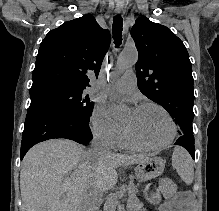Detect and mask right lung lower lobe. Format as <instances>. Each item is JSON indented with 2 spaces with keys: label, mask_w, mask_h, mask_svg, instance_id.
Listing matches in <instances>:
<instances>
[{
  "label": "right lung lower lobe",
  "mask_w": 219,
  "mask_h": 211,
  "mask_svg": "<svg viewBox=\"0 0 219 211\" xmlns=\"http://www.w3.org/2000/svg\"><path fill=\"white\" fill-rule=\"evenodd\" d=\"M53 138H66L86 145L93 138L89 120L76 117L51 99H31L22 134L21 160L33 145Z\"/></svg>",
  "instance_id": "obj_1"
}]
</instances>
